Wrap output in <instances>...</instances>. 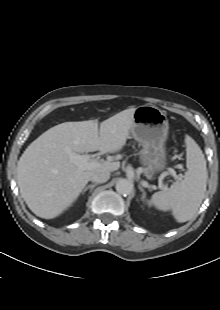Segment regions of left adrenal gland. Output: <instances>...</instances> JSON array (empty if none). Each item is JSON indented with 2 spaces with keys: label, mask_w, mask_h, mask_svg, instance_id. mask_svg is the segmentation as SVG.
Wrapping results in <instances>:
<instances>
[{
  "label": "left adrenal gland",
  "mask_w": 220,
  "mask_h": 310,
  "mask_svg": "<svg viewBox=\"0 0 220 310\" xmlns=\"http://www.w3.org/2000/svg\"><path fill=\"white\" fill-rule=\"evenodd\" d=\"M139 189H140V191L143 194L141 199H142V201L145 202L146 201V193H145L144 189L140 185H139Z\"/></svg>",
  "instance_id": "a2214340"
}]
</instances>
